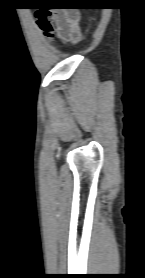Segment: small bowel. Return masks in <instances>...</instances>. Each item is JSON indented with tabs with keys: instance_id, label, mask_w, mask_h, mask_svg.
I'll list each match as a JSON object with an SVG mask.
<instances>
[{
	"instance_id": "obj_1",
	"label": "small bowel",
	"mask_w": 145,
	"mask_h": 278,
	"mask_svg": "<svg viewBox=\"0 0 145 278\" xmlns=\"http://www.w3.org/2000/svg\"><path fill=\"white\" fill-rule=\"evenodd\" d=\"M57 24H56V34L57 37L62 41H67L71 43H76L81 38V29L77 23V27L74 30L68 29L65 24L69 23L70 19L74 16L73 13L58 11L57 12Z\"/></svg>"
}]
</instances>
